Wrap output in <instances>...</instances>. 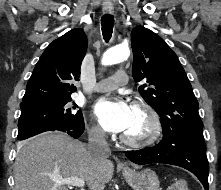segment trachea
I'll return each mask as SVG.
<instances>
[{
    "label": "trachea",
    "instance_id": "obj_1",
    "mask_svg": "<svg viewBox=\"0 0 221 190\" xmlns=\"http://www.w3.org/2000/svg\"><path fill=\"white\" fill-rule=\"evenodd\" d=\"M102 34L106 42L111 39L113 26H114V17L110 14H105L101 18Z\"/></svg>",
    "mask_w": 221,
    "mask_h": 190
}]
</instances>
